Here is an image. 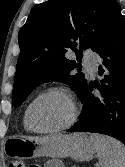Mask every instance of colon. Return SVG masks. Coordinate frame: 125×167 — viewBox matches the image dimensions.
<instances>
[{
	"instance_id": "1",
	"label": "colon",
	"mask_w": 125,
	"mask_h": 167,
	"mask_svg": "<svg viewBox=\"0 0 125 167\" xmlns=\"http://www.w3.org/2000/svg\"><path fill=\"white\" fill-rule=\"evenodd\" d=\"M8 167H40V166L39 165L28 166L22 159H12L10 160Z\"/></svg>"
}]
</instances>
